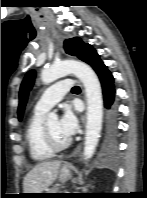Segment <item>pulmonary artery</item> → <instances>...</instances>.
<instances>
[{
	"label": "pulmonary artery",
	"mask_w": 147,
	"mask_h": 198,
	"mask_svg": "<svg viewBox=\"0 0 147 198\" xmlns=\"http://www.w3.org/2000/svg\"><path fill=\"white\" fill-rule=\"evenodd\" d=\"M71 86L72 81L70 79L53 84L43 92L37 100L34 109L39 112H47L64 98Z\"/></svg>",
	"instance_id": "obj_1"
}]
</instances>
